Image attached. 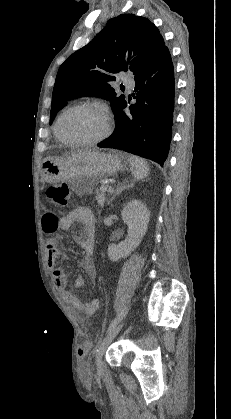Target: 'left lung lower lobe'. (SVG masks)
<instances>
[{"label":"left lung lower lobe","instance_id":"obj_1","mask_svg":"<svg viewBox=\"0 0 231 419\" xmlns=\"http://www.w3.org/2000/svg\"><path fill=\"white\" fill-rule=\"evenodd\" d=\"M136 103L124 101L115 112V130L98 147H110L151 159L163 166L169 151L174 110V70L169 50L134 78Z\"/></svg>","mask_w":231,"mask_h":419}]
</instances>
